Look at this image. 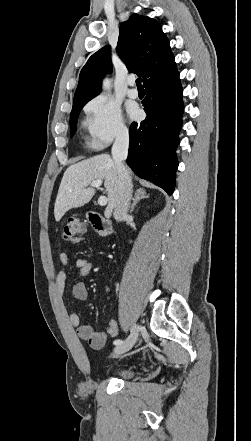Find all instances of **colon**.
<instances>
[{
  "label": "colon",
  "instance_id": "obj_1",
  "mask_svg": "<svg viewBox=\"0 0 251 441\" xmlns=\"http://www.w3.org/2000/svg\"><path fill=\"white\" fill-rule=\"evenodd\" d=\"M83 232V223L76 217H70L63 225L62 237L66 240H71L81 235Z\"/></svg>",
  "mask_w": 251,
  "mask_h": 441
}]
</instances>
